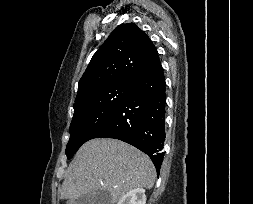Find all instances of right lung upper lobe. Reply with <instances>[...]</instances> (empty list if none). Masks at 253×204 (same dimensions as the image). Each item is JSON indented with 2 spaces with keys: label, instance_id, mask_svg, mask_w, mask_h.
I'll return each instance as SVG.
<instances>
[{
  "label": "right lung upper lobe",
  "instance_id": "1",
  "mask_svg": "<svg viewBox=\"0 0 253 204\" xmlns=\"http://www.w3.org/2000/svg\"><path fill=\"white\" fill-rule=\"evenodd\" d=\"M158 58L150 38L134 23L119 25L93 55L78 85V100L116 83H133Z\"/></svg>",
  "mask_w": 253,
  "mask_h": 204
}]
</instances>
